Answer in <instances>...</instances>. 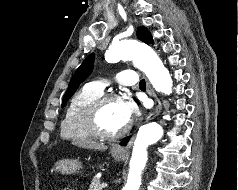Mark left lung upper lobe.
Wrapping results in <instances>:
<instances>
[{
	"mask_svg": "<svg viewBox=\"0 0 238 190\" xmlns=\"http://www.w3.org/2000/svg\"><path fill=\"white\" fill-rule=\"evenodd\" d=\"M136 35L139 40L145 42L146 44L149 43L153 44L152 36L146 27L144 26L138 27ZM93 65H94V54H90L74 73L69 83V87L64 95L62 107L66 104L69 98L75 93L79 85L91 74L93 70Z\"/></svg>",
	"mask_w": 238,
	"mask_h": 190,
	"instance_id": "1",
	"label": "left lung upper lobe"
}]
</instances>
